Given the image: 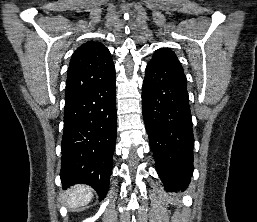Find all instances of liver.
Returning <instances> with one entry per match:
<instances>
[{
    "instance_id": "obj_1",
    "label": "liver",
    "mask_w": 257,
    "mask_h": 222,
    "mask_svg": "<svg viewBox=\"0 0 257 222\" xmlns=\"http://www.w3.org/2000/svg\"><path fill=\"white\" fill-rule=\"evenodd\" d=\"M93 197V191L86 185H75L66 192V204L69 208L87 205Z\"/></svg>"
}]
</instances>
